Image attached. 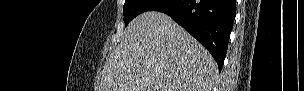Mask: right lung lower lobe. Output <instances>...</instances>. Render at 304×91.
Listing matches in <instances>:
<instances>
[{"mask_svg":"<svg viewBox=\"0 0 304 91\" xmlns=\"http://www.w3.org/2000/svg\"><path fill=\"white\" fill-rule=\"evenodd\" d=\"M146 11L169 15L211 53L221 71L236 16V0H154Z\"/></svg>","mask_w":304,"mask_h":91,"instance_id":"right-lung-lower-lobe-1","label":"right lung lower lobe"}]
</instances>
